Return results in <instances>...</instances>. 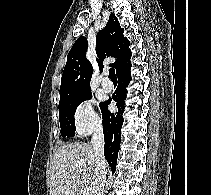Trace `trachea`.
<instances>
[{"mask_svg": "<svg viewBox=\"0 0 211 195\" xmlns=\"http://www.w3.org/2000/svg\"><path fill=\"white\" fill-rule=\"evenodd\" d=\"M109 78H110L111 80H117V77H116V74H115V70H114L113 68H111V69L109 70Z\"/></svg>", "mask_w": 211, "mask_h": 195, "instance_id": "1", "label": "trachea"}]
</instances>
